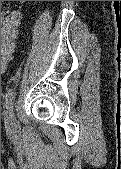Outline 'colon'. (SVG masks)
<instances>
[{
    "label": "colon",
    "mask_w": 121,
    "mask_h": 169,
    "mask_svg": "<svg viewBox=\"0 0 121 169\" xmlns=\"http://www.w3.org/2000/svg\"><path fill=\"white\" fill-rule=\"evenodd\" d=\"M21 14L16 10L5 11L1 19V68L7 69L15 50V39ZM2 72V71H1Z\"/></svg>",
    "instance_id": "1"
}]
</instances>
